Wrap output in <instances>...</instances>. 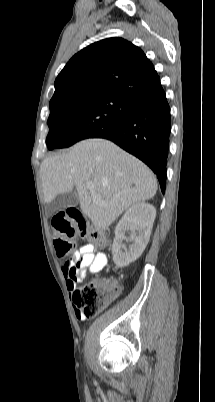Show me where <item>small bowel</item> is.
Listing matches in <instances>:
<instances>
[{"label": "small bowel", "instance_id": "c3829d8e", "mask_svg": "<svg viewBox=\"0 0 215 402\" xmlns=\"http://www.w3.org/2000/svg\"><path fill=\"white\" fill-rule=\"evenodd\" d=\"M72 258L79 261L78 268L74 273H72L71 268L66 267L64 263L63 273L66 279L67 288L73 298L76 284L84 281L90 273L103 269L107 264V256L99 251L93 244H85L72 255ZM112 285L118 293L120 288L117 283L113 282ZM75 315L79 320L85 319V316L77 308H75Z\"/></svg>", "mask_w": 215, "mask_h": 402}]
</instances>
